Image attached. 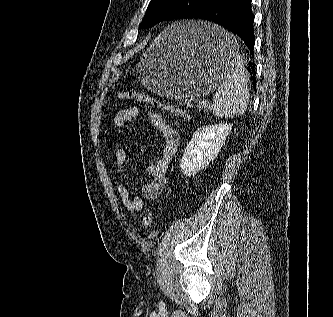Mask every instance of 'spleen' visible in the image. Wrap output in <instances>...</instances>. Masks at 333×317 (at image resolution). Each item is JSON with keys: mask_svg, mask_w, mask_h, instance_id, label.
<instances>
[{"mask_svg": "<svg viewBox=\"0 0 333 317\" xmlns=\"http://www.w3.org/2000/svg\"><path fill=\"white\" fill-rule=\"evenodd\" d=\"M214 29L217 32L215 42L227 51L230 61L226 76L217 87L210 110L220 118L241 116L247 109L250 97L244 59L239 55L238 45L232 36L217 25Z\"/></svg>", "mask_w": 333, "mask_h": 317, "instance_id": "3e777b00", "label": "spleen"}]
</instances>
